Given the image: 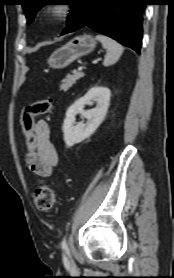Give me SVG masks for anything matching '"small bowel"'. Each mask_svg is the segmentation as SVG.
Here are the masks:
<instances>
[{"label":"small bowel","mask_w":174,"mask_h":278,"mask_svg":"<svg viewBox=\"0 0 174 278\" xmlns=\"http://www.w3.org/2000/svg\"><path fill=\"white\" fill-rule=\"evenodd\" d=\"M35 132L38 145L33 153L26 156V162L33 173L47 178L58 164V154L50 140V126L46 120L40 119L35 123Z\"/></svg>","instance_id":"c3829d8e"}]
</instances>
